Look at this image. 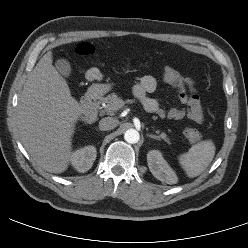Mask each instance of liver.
<instances>
[{
	"instance_id": "6515ba94",
	"label": "liver",
	"mask_w": 248,
	"mask_h": 248,
	"mask_svg": "<svg viewBox=\"0 0 248 248\" xmlns=\"http://www.w3.org/2000/svg\"><path fill=\"white\" fill-rule=\"evenodd\" d=\"M47 52L29 74L17 107L21 142L34 162L51 173L64 172L72 154V134L84 107Z\"/></svg>"
}]
</instances>
